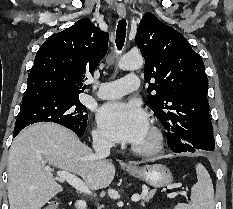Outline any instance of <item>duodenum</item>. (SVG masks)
<instances>
[{
  "label": "duodenum",
  "instance_id": "obj_1",
  "mask_svg": "<svg viewBox=\"0 0 233 209\" xmlns=\"http://www.w3.org/2000/svg\"><path fill=\"white\" fill-rule=\"evenodd\" d=\"M87 204L84 200H77L75 202V209H86Z\"/></svg>",
  "mask_w": 233,
  "mask_h": 209
}]
</instances>
